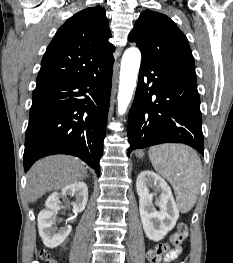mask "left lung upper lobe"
<instances>
[{"mask_svg": "<svg viewBox=\"0 0 233 263\" xmlns=\"http://www.w3.org/2000/svg\"><path fill=\"white\" fill-rule=\"evenodd\" d=\"M129 41L137 43L144 60L195 70L194 58L186 36L164 14L143 11L129 34Z\"/></svg>", "mask_w": 233, "mask_h": 263, "instance_id": "left-lung-upper-lobe-1", "label": "left lung upper lobe"}]
</instances>
